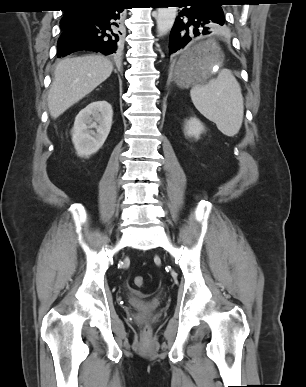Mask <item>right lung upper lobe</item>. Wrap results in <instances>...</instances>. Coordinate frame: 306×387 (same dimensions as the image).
I'll use <instances>...</instances> for the list:
<instances>
[{"label":"right lung upper lobe","mask_w":306,"mask_h":387,"mask_svg":"<svg viewBox=\"0 0 306 387\" xmlns=\"http://www.w3.org/2000/svg\"><path fill=\"white\" fill-rule=\"evenodd\" d=\"M68 7H80L84 5H99L111 0H66ZM71 9L66 10L64 17H70Z\"/></svg>","instance_id":"obj_1"}]
</instances>
